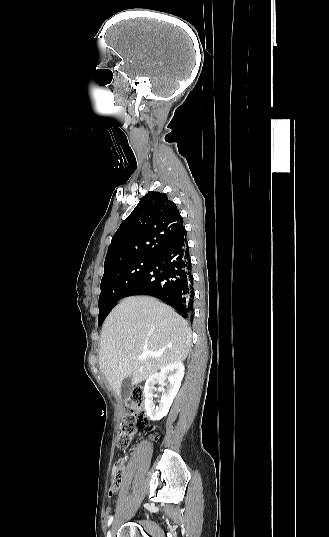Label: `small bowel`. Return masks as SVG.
<instances>
[{"label": "small bowel", "mask_w": 329, "mask_h": 537, "mask_svg": "<svg viewBox=\"0 0 329 537\" xmlns=\"http://www.w3.org/2000/svg\"><path fill=\"white\" fill-rule=\"evenodd\" d=\"M117 466H121V464H120V463H117V464L114 466V469H115Z\"/></svg>", "instance_id": "c3829d8e"}]
</instances>
